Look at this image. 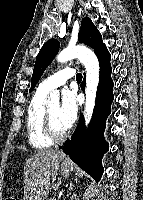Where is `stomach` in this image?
Wrapping results in <instances>:
<instances>
[{"instance_id": "1", "label": "stomach", "mask_w": 143, "mask_h": 200, "mask_svg": "<svg viewBox=\"0 0 143 200\" xmlns=\"http://www.w3.org/2000/svg\"><path fill=\"white\" fill-rule=\"evenodd\" d=\"M70 171H71V169H70L69 166H67V165H65V164H63V165L61 166L60 172H61V174H62L63 176H68L69 173H70Z\"/></svg>"}]
</instances>
